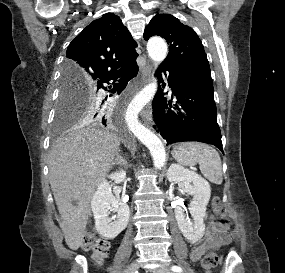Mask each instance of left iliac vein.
I'll use <instances>...</instances> for the list:
<instances>
[{
	"mask_svg": "<svg viewBox=\"0 0 285 273\" xmlns=\"http://www.w3.org/2000/svg\"><path fill=\"white\" fill-rule=\"evenodd\" d=\"M152 273H172L168 267L162 266L154 270Z\"/></svg>",
	"mask_w": 285,
	"mask_h": 273,
	"instance_id": "1",
	"label": "left iliac vein"
}]
</instances>
